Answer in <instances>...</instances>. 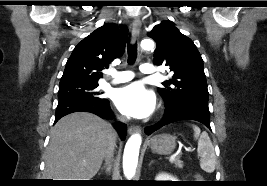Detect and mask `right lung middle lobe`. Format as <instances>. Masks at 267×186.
Here are the masks:
<instances>
[{"mask_svg":"<svg viewBox=\"0 0 267 186\" xmlns=\"http://www.w3.org/2000/svg\"><path fill=\"white\" fill-rule=\"evenodd\" d=\"M98 83H73L60 85L58 91V99H64L69 97H85L95 100H107L100 97V94L96 88Z\"/></svg>","mask_w":267,"mask_h":186,"instance_id":"right-lung-middle-lobe-1","label":"right lung middle lobe"}]
</instances>
